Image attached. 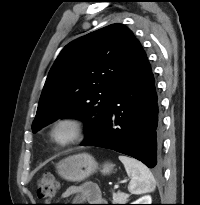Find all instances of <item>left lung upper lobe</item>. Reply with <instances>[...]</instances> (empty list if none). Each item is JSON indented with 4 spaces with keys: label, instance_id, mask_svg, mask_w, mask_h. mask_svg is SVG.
I'll return each instance as SVG.
<instances>
[{
    "label": "left lung upper lobe",
    "instance_id": "5c2ea615",
    "mask_svg": "<svg viewBox=\"0 0 200 205\" xmlns=\"http://www.w3.org/2000/svg\"><path fill=\"white\" fill-rule=\"evenodd\" d=\"M122 24H112L64 47L46 79L32 131L66 115L86 123L85 139L101 129L114 96L115 83L136 43Z\"/></svg>",
    "mask_w": 200,
    "mask_h": 205
}]
</instances>
